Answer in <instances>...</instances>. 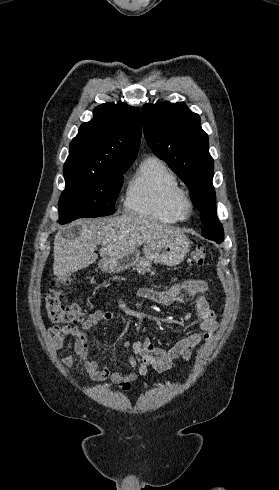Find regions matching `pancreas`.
<instances>
[{"label": "pancreas", "mask_w": 279, "mask_h": 490, "mask_svg": "<svg viewBox=\"0 0 279 490\" xmlns=\"http://www.w3.org/2000/svg\"><path fill=\"white\" fill-rule=\"evenodd\" d=\"M133 270H136V272H138V274H142V276H145L147 272H150L151 276H155V272L152 270V264L151 262H147V260H141V262H138Z\"/></svg>", "instance_id": "1"}]
</instances>
